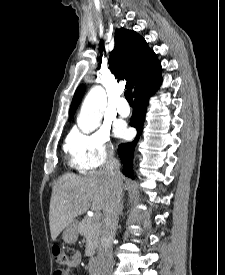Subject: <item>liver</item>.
Here are the masks:
<instances>
[{
  "instance_id": "6515ba94",
  "label": "liver",
  "mask_w": 225,
  "mask_h": 275,
  "mask_svg": "<svg viewBox=\"0 0 225 275\" xmlns=\"http://www.w3.org/2000/svg\"><path fill=\"white\" fill-rule=\"evenodd\" d=\"M108 181L102 171L89 172L85 176L63 175L52 189L49 207V225L52 240L65 229L74 218L91 207L104 210L107 200Z\"/></svg>"
}]
</instances>
